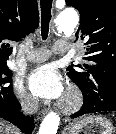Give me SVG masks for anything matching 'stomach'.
<instances>
[{
  "mask_svg": "<svg viewBox=\"0 0 116 134\" xmlns=\"http://www.w3.org/2000/svg\"><path fill=\"white\" fill-rule=\"evenodd\" d=\"M112 123L99 115L87 116L69 125L65 134H113Z\"/></svg>",
  "mask_w": 116,
  "mask_h": 134,
  "instance_id": "stomach-1",
  "label": "stomach"
}]
</instances>
